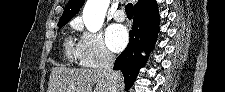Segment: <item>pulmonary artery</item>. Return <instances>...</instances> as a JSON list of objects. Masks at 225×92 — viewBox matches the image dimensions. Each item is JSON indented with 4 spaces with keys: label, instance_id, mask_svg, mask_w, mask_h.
<instances>
[{
    "label": "pulmonary artery",
    "instance_id": "e3ab8cb5",
    "mask_svg": "<svg viewBox=\"0 0 225 92\" xmlns=\"http://www.w3.org/2000/svg\"><path fill=\"white\" fill-rule=\"evenodd\" d=\"M114 19L118 22L125 20V13L122 10H118L113 15Z\"/></svg>",
    "mask_w": 225,
    "mask_h": 92
}]
</instances>
